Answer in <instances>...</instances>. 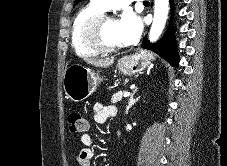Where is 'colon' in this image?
Wrapping results in <instances>:
<instances>
[{"label": "colon", "mask_w": 227, "mask_h": 166, "mask_svg": "<svg viewBox=\"0 0 227 166\" xmlns=\"http://www.w3.org/2000/svg\"><path fill=\"white\" fill-rule=\"evenodd\" d=\"M68 125L69 132L74 134L84 132L88 127V122L82 113L73 111L68 115Z\"/></svg>", "instance_id": "5ec220e1"}]
</instances>
